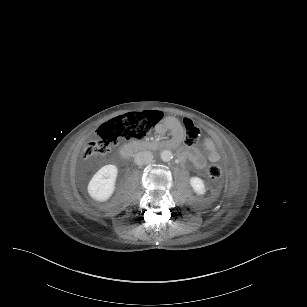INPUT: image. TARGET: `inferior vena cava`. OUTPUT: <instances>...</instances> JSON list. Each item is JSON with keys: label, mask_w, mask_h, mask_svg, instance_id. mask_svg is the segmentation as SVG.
<instances>
[{"label": "inferior vena cava", "mask_w": 307, "mask_h": 307, "mask_svg": "<svg viewBox=\"0 0 307 307\" xmlns=\"http://www.w3.org/2000/svg\"><path fill=\"white\" fill-rule=\"evenodd\" d=\"M153 160V155L150 151L138 152L134 157V163L138 166L150 164Z\"/></svg>", "instance_id": "602c4592"}]
</instances>
